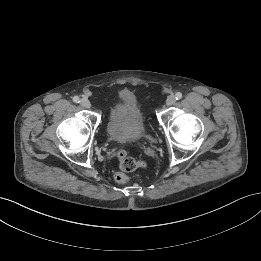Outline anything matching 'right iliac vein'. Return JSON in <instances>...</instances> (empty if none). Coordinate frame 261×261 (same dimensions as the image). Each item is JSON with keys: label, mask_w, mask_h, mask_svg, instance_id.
I'll return each mask as SVG.
<instances>
[{"label": "right iliac vein", "mask_w": 261, "mask_h": 261, "mask_svg": "<svg viewBox=\"0 0 261 261\" xmlns=\"http://www.w3.org/2000/svg\"><path fill=\"white\" fill-rule=\"evenodd\" d=\"M80 105L84 108H90L91 107V103L87 98H82L80 100Z\"/></svg>", "instance_id": "right-iliac-vein-1"}]
</instances>
